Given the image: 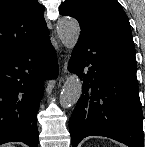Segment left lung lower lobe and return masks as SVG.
<instances>
[{"instance_id": "0a47b994", "label": "left lung lower lobe", "mask_w": 145, "mask_h": 147, "mask_svg": "<svg viewBox=\"0 0 145 147\" xmlns=\"http://www.w3.org/2000/svg\"><path fill=\"white\" fill-rule=\"evenodd\" d=\"M133 38L117 32L81 31L68 69L83 81L69 120L73 147L87 136H105L143 147V113Z\"/></svg>"}]
</instances>
